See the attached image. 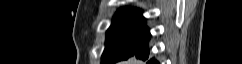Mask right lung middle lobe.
<instances>
[{"instance_id": "dd1d6c3e", "label": "right lung middle lobe", "mask_w": 242, "mask_h": 64, "mask_svg": "<svg viewBox=\"0 0 242 64\" xmlns=\"http://www.w3.org/2000/svg\"><path fill=\"white\" fill-rule=\"evenodd\" d=\"M141 13L115 15L107 31L102 64L127 59L148 46L151 34Z\"/></svg>"}]
</instances>
